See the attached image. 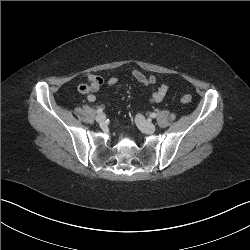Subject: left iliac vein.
I'll return each instance as SVG.
<instances>
[{"instance_id":"obj_1","label":"left iliac vein","mask_w":250,"mask_h":250,"mask_svg":"<svg viewBox=\"0 0 250 250\" xmlns=\"http://www.w3.org/2000/svg\"><path fill=\"white\" fill-rule=\"evenodd\" d=\"M136 124L144 133L152 134L155 132L156 127L153 123L147 121L142 115L138 114L135 118Z\"/></svg>"}]
</instances>
